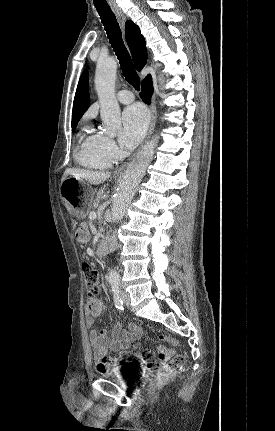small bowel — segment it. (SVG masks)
<instances>
[{"mask_svg":"<svg viewBox=\"0 0 275 431\" xmlns=\"http://www.w3.org/2000/svg\"><path fill=\"white\" fill-rule=\"evenodd\" d=\"M76 238L81 243L89 240V234L85 228H80L76 232ZM103 303L100 299H90L85 308L86 324L89 329V339L95 356L105 355L108 351L128 355L127 344L131 337L139 338L142 335V328L131 324L130 332H123L120 323L112 328H105L98 331L94 327V320L101 315Z\"/></svg>","mask_w":275,"mask_h":431,"instance_id":"1","label":"small bowel"}]
</instances>
